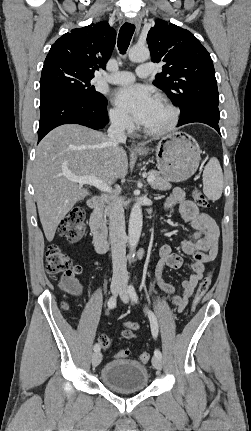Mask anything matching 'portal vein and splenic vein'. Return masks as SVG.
Returning <instances> with one entry per match:
<instances>
[{
    "label": "portal vein and splenic vein",
    "mask_w": 251,
    "mask_h": 431,
    "mask_svg": "<svg viewBox=\"0 0 251 431\" xmlns=\"http://www.w3.org/2000/svg\"><path fill=\"white\" fill-rule=\"evenodd\" d=\"M68 179L82 185L88 184V185L94 186L102 192H106V193L112 192V188L109 185H107L103 180L98 179L94 176H69ZM153 181H154V176L147 177L148 183H151Z\"/></svg>",
    "instance_id": "1"
}]
</instances>
